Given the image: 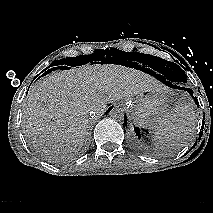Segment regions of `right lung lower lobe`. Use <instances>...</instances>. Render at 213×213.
Listing matches in <instances>:
<instances>
[{
    "mask_svg": "<svg viewBox=\"0 0 213 213\" xmlns=\"http://www.w3.org/2000/svg\"><path fill=\"white\" fill-rule=\"evenodd\" d=\"M60 67H58V66H53L50 70H48L46 73H49V72H52L53 70H56V69H59ZM111 108L112 107H110L109 109H108V111L107 112H109L110 110H111Z\"/></svg>",
    "mask_w": 213,
    "mask_h": 213,
    "instance_id": "1",
    "label": "right lung lower lobe"
}]
</instances>
